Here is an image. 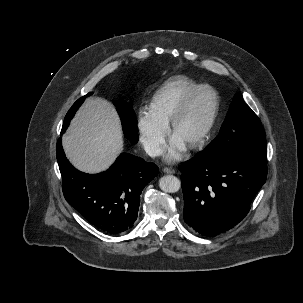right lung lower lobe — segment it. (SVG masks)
<instances>
[{
	"label": "right lung lower lobe",
	"instance_id": "1",
	"mask_svg": "<svg viewBox=\"0 0 303 303\" xmlns=\"http://www.w3.org/2000/svg\"><path fill=\"white\" fill-rule=\"evenodd\" d=\"M56 153L66 201L91 224L109 234L129 231L137 219L141 192L157 176L158 167L122 153L107 171L86 174L69 163L61 138Z\"/></svg>",
	"mask_w": 303,
	"mask_h": 303
}]
</instances>
